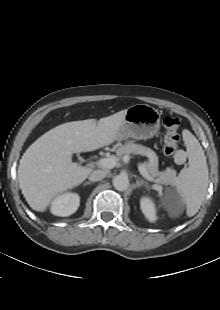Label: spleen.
Here are the masks:
<instances>
[{"label":"spleen","instance_id":"spleen-1","mask_svg":"<svg viewBox=\"0 0 220 310\" xmlns=\"http://www.w3.org/2000/svg\"><path fill=\"white\" fill-rule=\"evenodd\" d=\"M183 140L187 147L189 167L181 170L175 186L186 205L187 216L192 217L198 212L205 197L208 166L200 143L190 131L186 129L183 131Z\"/></svg>","mask_w":220,"mask_h":310}]
</instances>
